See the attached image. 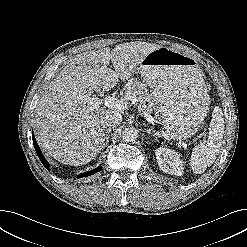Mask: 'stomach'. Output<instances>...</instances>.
<instances>
[{"label":"stomach","instance_id":"obj_1","mask_svg":"<svg viewBox=\"0 0 247 247\" xmlns=\"http://www.w3.org/2000/svg\"><path fill=\"white\" fill-rule=\"evenodd\" d=\"M138 71L151 88L167 137L180 141L193 136L208 109L207 87L198 62L159 47L143 58Z\"/></svg>","mask_w":247,"mask_h":247}]
</instances>
